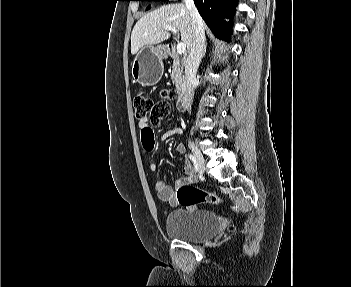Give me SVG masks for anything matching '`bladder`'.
<instances>
[{"label": "bladder", "mask_w": 351, "mask_h": 287, "mask_svg": "<svg viewBox=\"0 0 351 287\" xmlns=\"http://www.w3.org/2000/svg\"><path fill=\"white\" fill-rule=\"evenodd\" d=\"M219 225V218L212 211L177 209L167 215L165 228L172 238L201 242L213 237Z\"/></svg>", "instance_id": "1"}]
</instances>
